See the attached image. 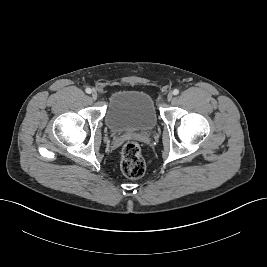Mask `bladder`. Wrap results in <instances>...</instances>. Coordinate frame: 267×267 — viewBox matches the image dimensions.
Returning a JSON list of instances; mask_svg holds the SVG:
<instances>
[{"label":"bladder","mask_w":267,"mask_h":267,"mask_svg":"<svg viewBox=\"0 0 267 267\" xmlns=\"http://www.w3.org/2000/svg\"><path fill=\"white\" fill-rule=\"evenodd\" d=\"M105 122L116 133L151 130L157 123L154 100L142 90L115 91L108 100Z\"/></svg>","instance_id":"obj_1"}]
</instances>
